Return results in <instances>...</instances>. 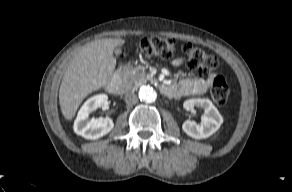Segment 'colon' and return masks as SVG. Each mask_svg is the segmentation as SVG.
Returning a JSON list of instances; mask_svg holds the SVG:
<instances>
[{
  "label": "colon",
  "mask_w": 292,
  "mask_h": 192,
  "mask_svg": "<svg viewBox=\"0 0 292 192\" xmlns=\"http://www.w3.org/2000/svg\"><path fill=\"white\" fill-rule=\"evenodd\" d=\"M140 49L148 56L168 59L176 51V42L168 37H146L141 40ZM181 50L187 59L189 68L197 70L203 76L209 75L218 66V60L214 55L191 43L182 44ZM211 96L219 105L226 103L229 96V87L224 77L215 76L212 83Z\"/></svg>",
  "instance_id": "obj_1"
}]
</instances>
